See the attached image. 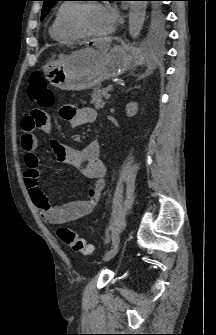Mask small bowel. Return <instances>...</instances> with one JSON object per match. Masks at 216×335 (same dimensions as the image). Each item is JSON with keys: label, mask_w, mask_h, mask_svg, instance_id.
Returning a JSON list of instances; mask_svg holds the SVG:
<instances>
[{"label": "small bowel", "mask_w": 216, "mask_h": 335, "mask_svg": "<svg viewBox=\"0 0 216 335\" xmlns=\"http://www.w3.org/2000/svg\"><path fill=\"white\" fill-rule=\"evenodd\" d=\"M61 115L73 128L92 123L96 119L94 109L77 108L74 105L63 106ZM36 130L46 134L52 132L50 113L47 108H32L29 117L22 122L23 133L20 141L25 152L24 163L27 168L25 183L35 207L43 219L52 225L68 223L90 214L96 208L105 186V166L100 158L99 142L93 139L79 151L61 142L52 141V149L59 161L78 167L87 179L93 181L86 199L53 206L40 183V159L36 154L39 140L35 134Z\"/></svg>", "instance_id": "obj_1"}]
</instances>
